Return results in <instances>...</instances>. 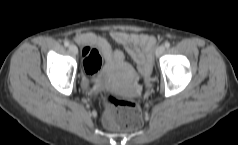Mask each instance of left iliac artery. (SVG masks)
Wrapping results in <instances>:
<instances>
[{
  "instance_id": "1",
  "label": "left iliac artery",
  "mask_w": 238,
  "mask_h": 145,
  "mask_svg": "<svg viewBox=\"0 0 238 145\" xmlns=\"http://www.w3.org/2000/svg\"><path fill=\"white\" fill-rule=\"evenodd\" d=\"M170 45H171L170 42H165V47H166V48H169Z\"/></svg>"
}]
</instances>
